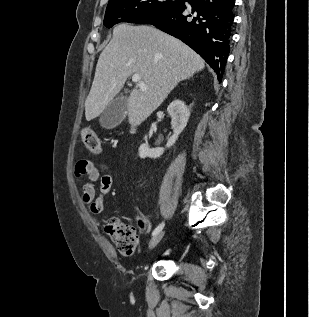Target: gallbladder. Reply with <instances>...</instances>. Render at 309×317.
<instances>
[{
  "mask_svg": "<svg viewBox=\"0 0 309 317\" xmlns=\"http://www.w3.org/2000/svg\"><path fill=\"white\" fill-rule=\"evenodd\" d=\"M127 97L119 95L113 99L104 109L100 116V124L106 129H112L118 126L127 114Z\"/></svg>",
  "mask_w": 309,
  "mask_h": 317,
  "instance_id": "obj_1",
  "label": "gallbladder"
}]
</instances>
